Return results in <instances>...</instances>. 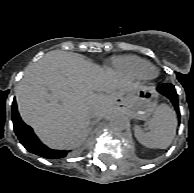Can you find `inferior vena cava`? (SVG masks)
<instances>
[{
	"mask_svg": "<svg viewBox=\"0 0 194 193\" xmlns=\"http://www.w3.org/2000/svg\"><path fill=\"white\" fill-rule=\"evenodd\" d=\"M88 116L90 119L95 120L98 117L99 109L98 108H89L88 109Z\"/></svg>",
	"mask_w": 194,
	"mask_h": 193,
	"instance_id": "1",
	"label": "inferior vena cava"
}]
</instances>
